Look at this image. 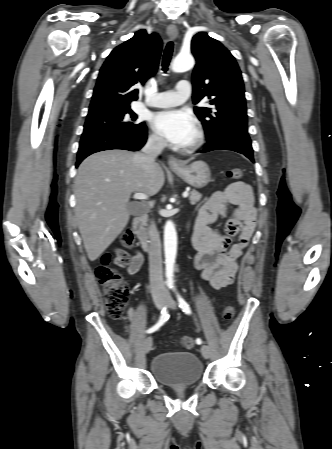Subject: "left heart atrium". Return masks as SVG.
I'll return each instance as SVG.
<instances>
[{
	"instance_id": "39dd6f15",
	"label": "left heart atrium",
	"mask_w": 332,
	"mask_h": 449,
	"mask_svg": "<svg viewBox=\"0 0 332 449\" xmlns=\"http://www.w3.org/2000/svg\"><path fill=\"white\" fill-rule=\"evenodd\" d=\"M154 129L176 146H186L194 137L196 123L185 110H167L153 116Z\"/></svg>"
}]
</instances>
